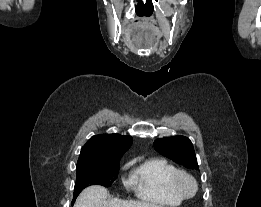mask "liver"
Returning a JSON list of instances; mask_svg holds the SVG:
<instances>
[{
    "mask_svg": "<svg viewBox=\"0 0 261 207\" xmlns=\"http://www.w3.org/2000/svg\"><path fill=\"white\" fill-rule=\"evenodd\" d=\"M106 188L93 185L85 188L77 198L74 207H163L145 201L121 200L114 198L107 200Z\"/></svg>",
    "mask_w": 261,
    "mask_h": 207,
    "instance_id": "liver-1",
    "label": "liver"
}]
</instances>
